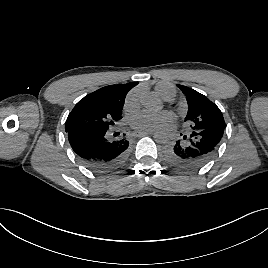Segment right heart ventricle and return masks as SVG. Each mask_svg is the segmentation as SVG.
Listing matches in <instances>:
<instances>
[{"instance_id": "1", "label": "right heart ventricle", "mask_w": 268, "mask_h": 268, "mask_svg": "<svg viewBox=\"0 0 268 268\" xmlns=\"http://www.w3.org/2000/svg\"><path fill=\"white\" fill-rule=\"evenodd\" d=\"M156 92L166 100H170L174 96V90L169 85L163 83L156 86Z\"/></svg>"}]
</instances>
